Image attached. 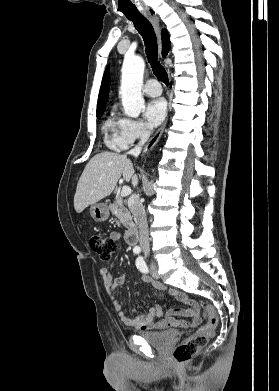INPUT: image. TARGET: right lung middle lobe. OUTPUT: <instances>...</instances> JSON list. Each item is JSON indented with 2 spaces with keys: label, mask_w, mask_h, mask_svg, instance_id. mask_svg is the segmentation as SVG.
I'll return each mask as SVG.
<instances>
[{
  "label": "right lung middle lobe",
  "mask_w": 279,
  "mask_h": 391,
  "mask_svg": "<svg viewBox=\"0 0 279 391\" xmlns=\"http://www.w3.org/2000/svg\"><path fill=\"white\" fill-rule=\"evenodd\" d=\"M104 112V109L97 110V117H100Z\"/></svg>",
  "instance_id": "1"
}]
</instances>
